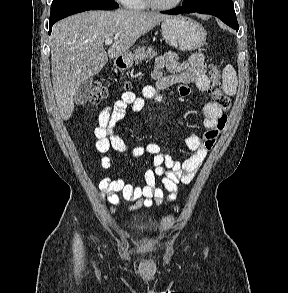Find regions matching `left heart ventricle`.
Returning <instances> with one entry per match:
<instances>
[{
	"instance_id": "1",
	"label": "left heart ventricle",
	"mask_w": 288,
	"mask_h": 293,
	"mask_svg": "<svg viewBox=\"0 0 288 293\" xmlns=\"http://www.w3.org/2000/svg\"><path fill=\"white\" fill-rule=\"evenodd\" d=\"M155 1L161 4H169V3H172L174 0H155Z\"/></svg>"
}]
</instances>
